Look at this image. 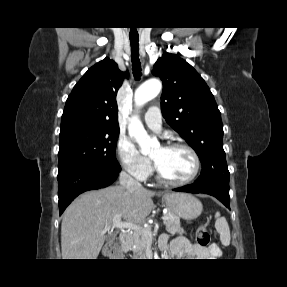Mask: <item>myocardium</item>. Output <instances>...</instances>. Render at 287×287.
I'll list each match as a JSON object with an SVG mask.
<instances>
[{
	"label": "myocardium",
	"instance_id": "1",
	"mask_svg": "<svg viewBox=\"0 0 287 287\" xmlns=\"http://www.w3.org/2000/svg\"><path fill=\"white\" fill-rule=\"evenodd\" d=\"M163 148H165V149L182 148V149L187 150L191 154V156L193 157L194 170H193L192 174L184 180H172V179H170L164 175V173L161 171L157 162L151 158L154 170H155L156 175H157V178L161 182L168 184V185H172V186H184V185H187V184H190L191 182H193L197 178V176L199 175L200 170H201V159H200V156L197 153V151L192 146H190L186 143H182V142H169V143L165 144L163 146Z\"/></svg>",
	"mask_w": 287,
	"mask_h": 287
}]
</instances>
